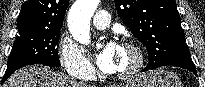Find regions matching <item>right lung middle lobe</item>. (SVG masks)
<instances>
[{
  "mask_svg": "<svg viewBox=\"0 0 205 87\" xmlns=\"http://www.w3.org/2000/svg\"><path fill=\"white\" fill-rule=\"evenodd\" d=\"M58 30H26L16 37L8 63L18 60L34 61L47 66H60L56 46Z\"/></svg>",
  "mask_w": 205,
  "mask_h": 87,
  "instance_id": "right-lung-middle-lobe-1",
  "label": "right lung middle lobe"
}]
</instances>
